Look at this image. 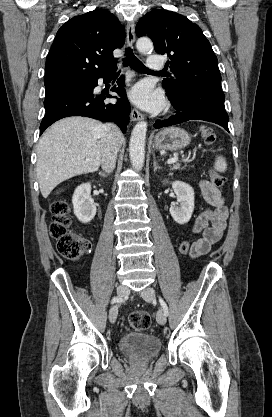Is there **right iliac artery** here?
Masks as SVG:
<instances>
[{
  "mask_svg": "<svg viewBox=\"0 0 272 417\" xmlns=\"http://www.w3.org/2000/svg\"><path fill=\"white\" fill-rule=\"evenodd\" d=\"M111 302L112 303H115V302H123V299H119V298L114 297Z\"/></svg>",
  "mask_w": 272,
  "mask_h": 417,
  "instance_id": "right-iliac-artery-1",
  "label": "right iliac artery"
}]
</instances>
